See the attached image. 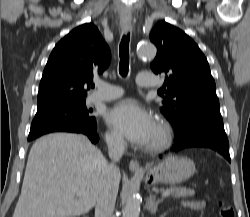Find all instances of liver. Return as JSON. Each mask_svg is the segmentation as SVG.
Segmentation results:
<instances>
[{"mask_svg":"<svg viewBox=\"0 0 250 217\" xmlns=\"http://www.w3.org/2000/svg\"><path fill=\"white\" fill-rule=\"evenodd\" d=\"M107 164L80 134L43 136L32 146L13 217H74L95 205Z\"/></svg>","mask_w":250,"mask_h":217,"instance_id":"obj_1","label":"liver"}]
</instances>
